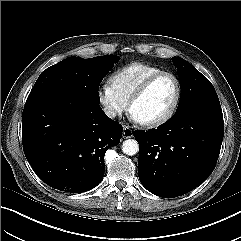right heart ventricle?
I'll use <instances>...</instances> for the list:
<instances>
[{
	"instance_id": "e07e8e85",
	"label": "right heart ventricle",
	"mask_w": 241,
	"mask_h": 241,
	"mask_svg": "<svg viewBox=\"0 0 241 241\" xmlns=\"http://www.w3.org/2000/svg\"><path fill=\"white\" fill-rule=\"evenodd\" d=\"M162 71L161 68L142 62L128 64L110 77V83L118 94L129 103L138 87L151 75Z\"/></svg>"
}]
</instances>
